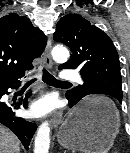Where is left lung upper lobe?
Returning <instances> with one entry per match:
<instances>
[{
  "label": "left lung upper lobe",
  "mask_w": 130,
  "mask_h": 153,
  "mask_svg": "<svg viewBox=\"0 0 130 153\" xmlns=\"http://www.w3.org/2000/svg\"><path fill=\"white\" fill-rule=\"evenodd\" d=\"M53 38L72 51L59 70L79 69L84 81L66 93L67 99L79 102L89 94H105L122 102L119 57L105 32L80 15L68 14L58 21Z\"/></svg>",
  "instance_id": "5c2ea615"
}]
</instances>
